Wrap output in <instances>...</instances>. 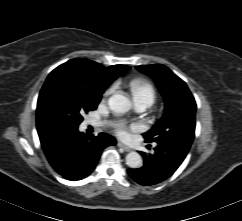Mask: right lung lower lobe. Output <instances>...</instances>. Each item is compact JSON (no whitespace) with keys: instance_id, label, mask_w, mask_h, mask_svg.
<instances>
[{"instance_id":"obj_1","label":"right lung lower lobe","mask_w":242,"mask_h":221,"mask_svg":"<svg viewBox=\"0 0 242 221\" xmlns=\"http://www.w3.org/2000/svg\"><path fill=\"white\" fill-rule=\"evenodd\" d=\"M51 166L64 178L81 180L95 168L104 148L115 145L114 137L100 133L86 138L78 128L54 127L39 134Z\"/></svg>"}]
</instances>
